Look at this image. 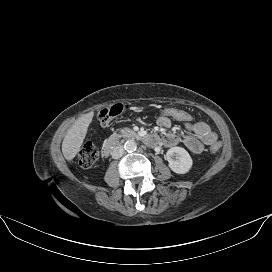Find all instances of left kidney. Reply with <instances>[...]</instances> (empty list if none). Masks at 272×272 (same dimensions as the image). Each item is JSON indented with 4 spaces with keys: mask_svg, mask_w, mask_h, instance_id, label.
<instances>
[{
    "mask_svg": "<svg viewBox=\"0 0 272 272\" xmlns=\"http://www.w3.org/2000/svg\"><path fill=\"white\" fill-rule=\"evenodd\" d=\"M170 169L177 174L187 173L193 164L189 153L181 147H172L166 153Z\"/></svg>",
    "mask_w": 272,
    "mask_h": 272,
    "instance_id": "obj_1",
    "label": "left kidney"
}]
</instances>
